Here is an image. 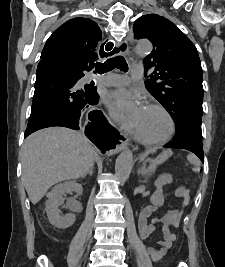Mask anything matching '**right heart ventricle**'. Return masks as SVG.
Segmentation results:
<instances>
[{
  "label": "right heart ventricle",
  "instance_id": "obj_1",
  "mask_svg": "<svg viewBox=\"0 0 225 267\" xmlns=\"http://www.w3.org/2000/svg\"><path fill=\"white\" fill-rule=\"evenodd\" d=\"M135 137H136V139H138V140L141 141V139H140L139 136L136 134V132H135Z\"/></svg>",
  "mask_w": 225,
  "mask_h": 267
}]
</instances>
